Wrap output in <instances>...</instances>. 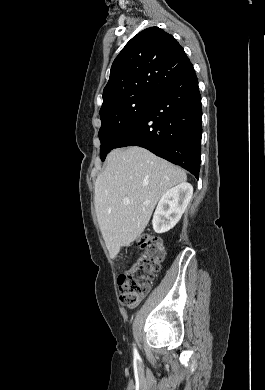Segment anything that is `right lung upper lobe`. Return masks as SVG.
<instances>
[{"label": "right lung upper lobe", "instance_id": "right-lung-upper-lobe-1", "mask_svg": "<svg viewBox=\"0 0 265 390\" xmlns=\"http://www.w3.org/2000/svg\"><path fill=\"white\" fill-rule=\"evenodd\" d=\"M192 63L176 39L158 27L135 35L114 60L102 108L136 94L156 95Z\"/></svg>", "mask_w": 265, "mask_h": 390}]
</instances>
